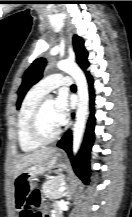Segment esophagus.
Here are the masks:
<instances>
[{"instance_id": "obj_1", "label": "esophagus", "mask_w": 132, "mask_h": 217, "mask_svg": "<svg viewBox=\"0 0 132 217\" xmlns=\"http://www.w3.org/2000/svg\"><path fill=\"white\" fill-rule=\"evenodd\" d=\"M66 32H67V39H68L69 43H71L72 36H73V29L69 24H67V26H66Z\"/></svg>"}]
</instances>
